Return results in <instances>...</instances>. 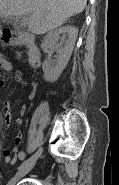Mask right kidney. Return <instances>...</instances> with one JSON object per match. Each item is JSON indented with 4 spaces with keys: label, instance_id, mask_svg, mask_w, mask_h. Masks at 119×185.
Instances as JSON below:
<instances>
[{
    "label": "right kidney",
    "instance_id": "obj_1",
    "mask_svg": "<svg viewBox=\"0 0 119 185\" xmlns=\"http://www.w3.org/2000/svg\"><path fill=\"white\" fill-rule=\"evenodd\" d=\"M62 36L61 42H58ZM78 35V29L73 26H64L49 32L43 39L42 49H54L57 53L56 60L45 61L42 64L44 79L55 82L66 67Z\"/></svg>",
    "mask_w": 119,
    "mask_h": 185
}]
</instances>
